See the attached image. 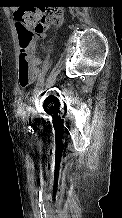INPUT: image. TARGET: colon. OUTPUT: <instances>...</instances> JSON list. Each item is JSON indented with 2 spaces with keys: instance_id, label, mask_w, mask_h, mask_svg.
<instances>
[{
  "instance_id": "colon-1",
  "label": "colon",
  "mask_w": 122,
  "mask_h": 218,
  "mask_svg": "<svg viewBox=\"0 0 122 218\" xmlns=\"http://www.w3.org/2000/svg\"><path fill=\"white\" fill-rule=\"evenodd\" d=\"M18 26L19 60L18 74L22 87L29 86L36 75L33 48L36 40L43 36L52 26L61 22V11L56 7L19 8L14 12Z\"/></svg>"
}]
</instances>
